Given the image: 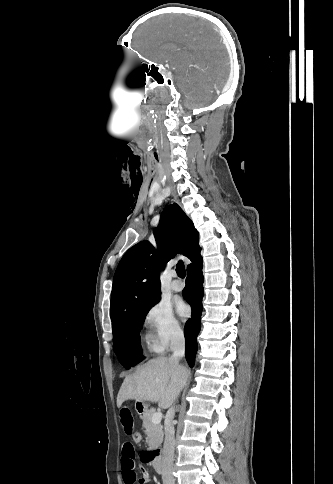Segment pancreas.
Here are the masks:
<instances>
[{"label":"pancreas","instance_id":"pancreas-1","mask_svg":"<svg viewBox=\"0 0 333 484\" xmlns=\"http://www.w3.org/2000/svg\"><path fill=\"white\" fill-rule=\"evenodd\" d=\"M156 412L155 409L148 410L143 416V427L145 428V433L147 435V444L149 450L159 447L163 441V426L160 423H152V416Z\"/></svg>","mask_w":333,"mask_h":484}]
</instances>
